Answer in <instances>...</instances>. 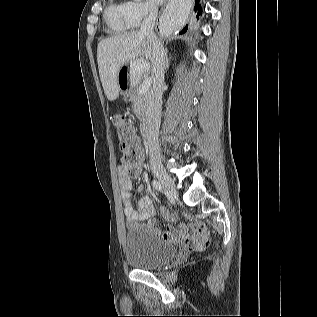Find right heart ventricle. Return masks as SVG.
Wrapping results in <instances>:
<instances>
[{
	"label": "right heart ventricle",
	"mask_w": 317,
	"mask_h": 317,
	"mask_svg": "<svg viewBox=\"0 0 317 317\" xmlns=\"http://www.w3.org/2000/svg\"><path fill=\"white\" fill-rule=\"evenodd\" d=\"M105 21L112 33H123L133 26L127 15L125 3L112 0L105 10Z\"/></svg>",
	"instance_id": "right-heart-ventricle-1"
}]
</instances>
